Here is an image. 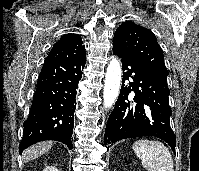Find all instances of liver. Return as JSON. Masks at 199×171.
<instances>
[{"label": "liver", "mask_w": 199, "mask_h": 171, "mask_svg": "<svg viewBox=\"0 0 199 171\" xmlns=\"http://www.w3.org/2000/svg\"><path fill=\"white\" fill-rule=\"evenodd\" d=\"M52 145V141H44L29 147L23 152V160L28 162L38 158L46 153L52 147Z\"/></svg>", "instance_id": "obj_1"}]
</instances>
